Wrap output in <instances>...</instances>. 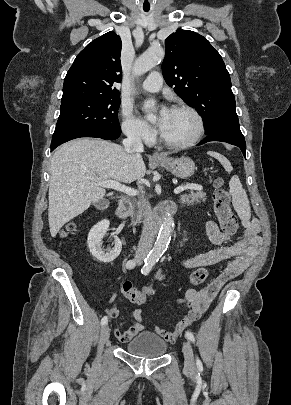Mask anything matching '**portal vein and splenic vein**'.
<instances>
[{
  "mask_svg": "<svg viewBox=\"0 0 291 405\" xmlns=\"http://www.w3.org/2000/svg\"><path fill=\"white\" fill-rule=\"evenodd\" d=\"M95 182L98 183L99 186L104 187V188H111L120 192H123L129 196H136L138 194L137 190L132 189L130 187H127L125 185H122L118 181H113V180H106V181H98L94 180ZM186 189H191V190H202L203 187L198 184H188L186 186H179L174 189L175 194H180Z\"/></svg>",
  "mask_w": 291,
  "mask_h": 405,
  "instance_id": "1",
  "label": "portal vein and splenic vein"
}]
</instances>
